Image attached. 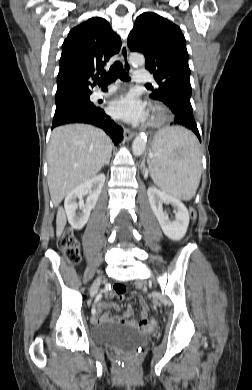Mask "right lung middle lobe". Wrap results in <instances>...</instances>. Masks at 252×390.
<instances>
[{
    "label": "right lung middle lobe",
    "instance_id": "right-lung-middle-lobe-1",
    "mask_svg": "<svg viewBox=\"0 0 252 390\" xmlns=\"http://www.w3.org/2000/svg\"><path fill=\"white\" fill-rule=\"evenodd\" d=\"M89 96L90 95H82V96H77V97L70 98L67 100L56 101V107L63 105V104H66V103H69V102H85L87 104H92L89 100Z\"/></svg>",
    "mask_w": 252,
    "mask_h": 390
}]
</instances>
